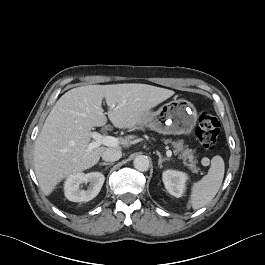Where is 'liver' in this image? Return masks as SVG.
<instances>
[{"label": "liver", "instance_id": "liver-1", "mask_svg": "<svg viewBox=\"0 0 265 265\" xmlns=\"http://www.w3.org/2000/svg\"><path fill=\"white\" fill-rule=\"evenodd\" d=\"M174 91L147 84L87 85L73 88L56 102L47 116L34 146V170L43 193L48 196L66 177L98 163L106 149L99 146L88 152L91 129L107 123L102 109L105 98L108 118L120 129L135 130L143 117L174 95ZM114 106V107H113ZM132 136L121 140L130 146Z\"/></svg>", "mask_w": 265, "mask_h": 265}]
</instances>
